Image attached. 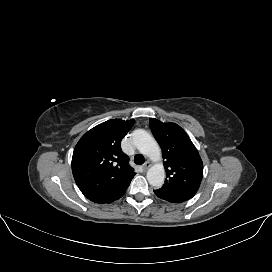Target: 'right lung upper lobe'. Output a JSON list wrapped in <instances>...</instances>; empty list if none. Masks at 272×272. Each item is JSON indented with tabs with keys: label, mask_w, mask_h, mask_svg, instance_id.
<instances>
[{
	"label": "right lung upper lobe",
	"mask_w": 272,
	"mask_h": 272,
	"mask_svg": "<svg viewBox=\"0 0 272 272\" xmlns=\"http://www.w3.org/2000/svg\"><path fill=\"white\" fill-rule=\"evenodd\" d=\"M134 122L133 119L108 120L89 130L77 143L72 172L79 189L89 200L110 203L130 185L135 172L128 165L120 143Z\"/></svg>",
	"instance_id": "1"
}]
</instances>
